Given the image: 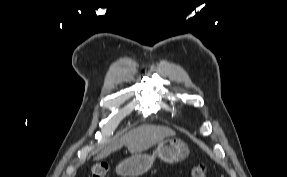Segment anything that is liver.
Segmentation results:
<instances>
[{
    "instance_id": "1",
    "label": "liver",
    "mask_w": 287,
    "mask_h": 177,
    "mask_svg": "<svg viewBox=\"0 0 287 177\" xmlns=\"http://www.w3.org/2000/svg\"><path fill=\"white\" fill-rule=\"evenodd\" d=\"M170 136H175V132L168 127L145 124L129 131L127 134L105 147L95 159H103L113 151L122 148L124 145L131 153H140Z\"/></svg>"
}]
</instances>
